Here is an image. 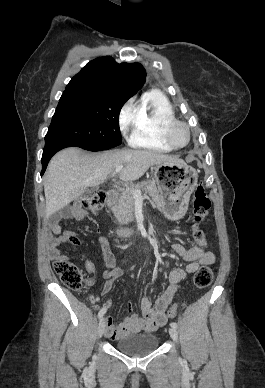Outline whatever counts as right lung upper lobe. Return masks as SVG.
Instances as JSON below:
<instances>
[{
    "label": "right lung upper lobe",
    "mask_w": 265,
    "mask_h": 388,
    "mask_svg": "<svg viewBox=\"0 0 265 388\" xmlns=\"http://www.w3.org/2000/svg\"><path fill=\"white\" fill-rule=\"evenodd\" d=\"M146 71L139 63L118 64L112 57L89 62L66 87L69 92L113 93L132 97L143 86Z\"/></svg>",
    "instance_id": "cb5924a9"
}]
</instances>
